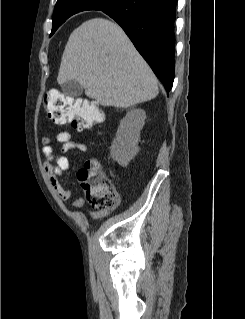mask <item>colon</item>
Here are the masks:
<instances>
[{
    "instance_id": "5ec220e1",
    "label": "colon",
    "mask_w": 245,
    "mask_h": 319,
    "mask_svg": "<svg viewBox=\"0 0 245 319\" xmlns=\"http://www.w3.org/2000/svg\"><path fill=\"white\" fill-rule=\"evenodd\" d=\"M50 119L60 123H71L78 130H87L103 121L102 111L93 103L65 96L50 90L44 99ZM80 186L87 201L98 209H114L118 204V192L114 183L106 176L96 160L87 161L78 173Z\"/></svg>"
}]
</instances>
